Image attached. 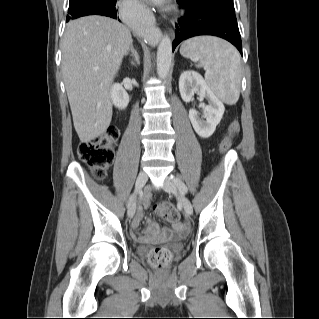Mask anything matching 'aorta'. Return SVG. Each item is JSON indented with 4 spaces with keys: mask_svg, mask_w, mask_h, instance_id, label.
<instances>
[{
    "mask_svg": "<svg viewBox=\"0 0 319 319\" xmlns=\"http://www.w3.org/2000/svg\"><path fill=\"white\" fill-rule=\"evenodd\" d=\"M141 18V17H140ZM140 19V25L142 31L145 33L147 29H150V20L148 16H143ZM171 60H172V43L170 38L165 35L159 43L158 50H157V74L159 78L165 79L169 73L171 67Z\"/></svg>",
    "mask_w": 319,
    "mask_h": 319,
    "instance_id": "obj_1",
    "label": "aorta"
}]
</instances>
